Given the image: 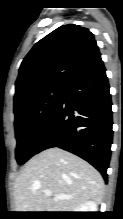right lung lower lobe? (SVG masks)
Segmentation results:
<instances>
[{
  "instance_id": "1",
  "label": "right lung lower lobe",
  "mask_w": 123,
  "mask_h": 219,
  "mask_svg": "<svg viewBox=\"0 0 123 219\" xmlns=\"http://www.w3.org/2000/svg\"><path fill=\"white\" fill-rule=\"evenodd\" d=\"M111 106L100 57L66 83L62 101L39 140L36 154L62 148L88 161L107 181L113 134Z\"/></svg>"
}]
</instances>
